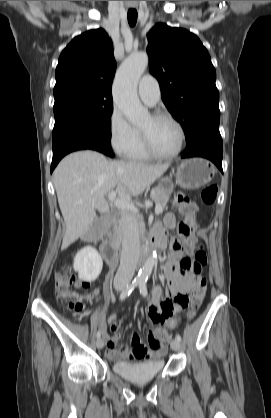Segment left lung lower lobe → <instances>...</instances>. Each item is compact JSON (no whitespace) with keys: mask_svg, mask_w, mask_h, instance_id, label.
<instances>
[{"mask_svg":"<svg viewBox=\"0 0 271 418\" xmlns=\"http://www.w3.org/2000/svg\"><path fill=\"white\" fill-rule=\"evenodd\" d=\"M204 157L222 171L223 143L219 130L197 134L188 144L182 158Z\"/></svg>","mask_w":271,"mask_h":418,"instance_id":"left-lung-lower-lobe-1","label":"left lung lower lobe"}]
</instances>
